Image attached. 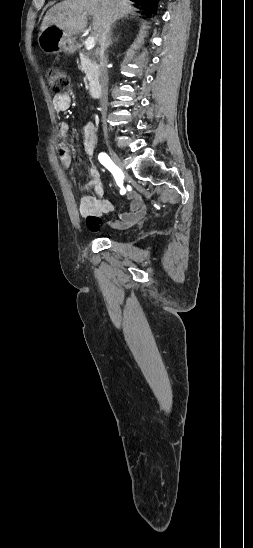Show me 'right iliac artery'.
Instances as JSON below:
<instances>
[{"mask_svg": "<svg viewBox=\"0 0 253 548\" xmlns=\"http://www.w3.org/2000/svg\"><path fill=\"white\" fill-rule=\"evenodd\" d=\"M98 159L100 163L113 174L117 184L121 187L120 193L124 194L125 189L122 186L123 173L121 172V170L112 162L110 157L104 152L99 154Z\"/></svg>", "mask_w": 253, "mask_h": 548, "instance_id": "right-iliac-artery-1", "label": "right iliac artery"}]
</instances>
